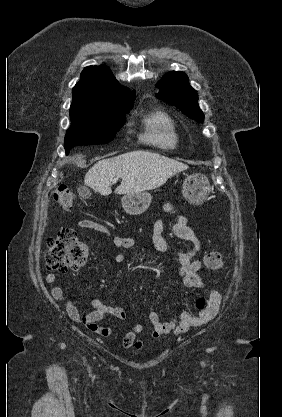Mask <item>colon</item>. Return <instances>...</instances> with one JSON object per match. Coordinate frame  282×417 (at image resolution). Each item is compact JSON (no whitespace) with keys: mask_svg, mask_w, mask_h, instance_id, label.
I'll list each match as a JSON object with an SVG mask.
<instances>
[{"mask_svg":"<svg viewBox=\"0 0 282 417\" xmlns=\"http://www.w3.org/2000/svg\"><path fill=\"white\" fill-rule=\"evenodd\" d=\"M56 205L63 209H71L74 205V196L65 186H58L54 191ZM48 251L44 257V266L47 270L63 272L68 269L82 267L88 259L89 249L87 245L74 236L70 229H64L47 240ZM205 264L212 271L222 269L224 261L219 253L208 254ZM196 306L203 310L206 306V299L201 297L197 300Z\"/></svg>","mask_w":282,"mask_h":417,"instance_id":"1","label":"colon"}]
</instances>
